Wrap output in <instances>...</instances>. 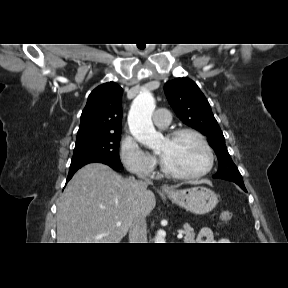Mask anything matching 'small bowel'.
Listing matches in <instances>:
<instances>
[{"label":"small bowel","instance_id":"1","mask_svg":"<svg viewBox=\"0 0 288 288\" xmlns=\"http://www.w3.org/2000/svg\"><path fill=\"white\" fill-rule=\"evenodd\" d=\"M199 243H229L227 238L214 239L213 231L210 228H203L199 232Z\"/></svg>","mask_w":288,"mask_h":288}]
</instances>
